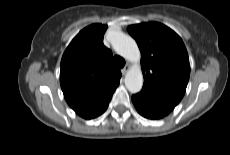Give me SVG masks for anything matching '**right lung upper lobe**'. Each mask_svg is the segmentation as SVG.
Here are the masks:
<instances>
[{
    "label": "right lung upper lobe",
    "instance_id": "obj_1",
    "mask_svg": "<svg viewBox=\"0 0 230 155\" xmlns=\"http://www.w3.org/2000/svg\"><path fill=\"white\" fill-rule=\"evenodd\" d=\"M107 25L92 24L71 41L60 65V84L68 105L81 117L92 119L108 107L121 72L112 52L103 44Z\"/></svg>",
    "mask_w": 230,
    "mask_h": 155
}]
</instances>
